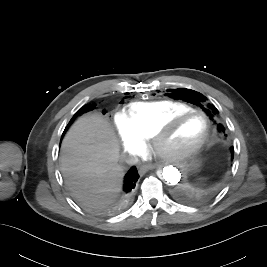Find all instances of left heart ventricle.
<instances>
[{"label": "left heart ventricle", "mask_w": 267, "mask_h": 267, "mask_svg": "<svg viewBox=\"0 0 267 267\" xmlns=\"http://www.w3.org/2000/svg\"><path fill=\"white\" fill-rule=\"evenodd\" d=\"M205 121L200 115H190L172 128L162 142L164 151L187 148L195 144L204 134Z\"/></svg>", "instance_id": "left-heart-ventricle-1"}]
</instances>
